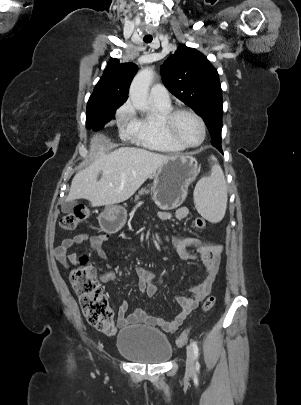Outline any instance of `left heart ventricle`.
<instances>
[{"label":"left heart ventricle","mask_w":301,"mask_h":405,"mask_svg":"<svg viewBox=\"0 0 301 405\" xmlns=\"http://www.w3.org/2000/svg\"><path fill=\"white\" fill-rule=\"evenodd\" d=\"M176 132L187 144H196L202 136L198 121L190 114H182L176 121Z\"/></svg>","instance_id":"b2bd125f"}]
</instances>
